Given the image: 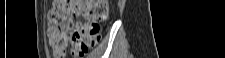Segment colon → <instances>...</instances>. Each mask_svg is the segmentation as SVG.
<instances>
[{
  "instance_id": "5ec220e1",
  "label": "colon",
  "mask_w": 225,
  "mask_h": 58,
  "mask_svg": "<svg viewBox=\"0 0 225 58\" xmlns=\"http://www.w3.org/2000/svg\"><path fill=\"white\" fill-rule=\"evenodd\" d=\"M106 0H60L49 14V42L54 56L61 58L71 43L76 56L83 57L101 40L102 24L109 19ZM83 16L87 24L73 25V18Z\"/></svg>"
}]
</instances>
